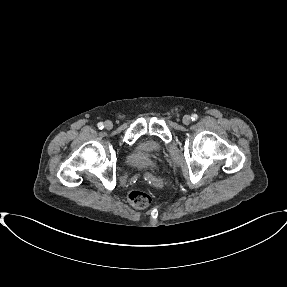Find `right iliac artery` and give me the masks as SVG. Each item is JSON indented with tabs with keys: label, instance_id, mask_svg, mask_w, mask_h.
Returning a JSON list of instances; mask_svg holds the SVG:
<instances>
[{
	"label": "right iliac artery",
	"instance_id": "obj_1",
	"mask_svg": "<svg viewBox=\"0 0 287 287\" xmlns=\"http://www.w3.org/2000/svg\"><path fill=\"white\" fill-rule=\"evenodd\" d=\"M97 126H98L99 129H103L104 128V124L102 122H99L97 124Z\"/></svg>",
	"mask_w": 287,
	"mask_h": 287
}]
</instances>
